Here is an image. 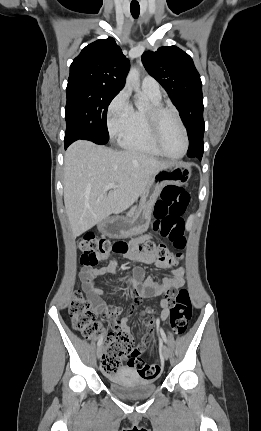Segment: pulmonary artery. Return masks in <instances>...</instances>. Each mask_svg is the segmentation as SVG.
Returning <instances> with one entry per match:
<instances>
[{
    "label": "pulmonary artery",
    "mask_w": 261,
    "mask_h": 431,
    "mask_svg": "<svg viewBox=\"0 0 261 431\" xmlns=\"http://www.w3.org/2000/svg\"><path fill=\"white\" fill-rule=\"evenodd\" d=\"M142 89L154 95L160 96V85L151 76H146L142 80Z\"/></svg>",
    "instance_id": "pulmonary-artery-1"
}]
</instances>
